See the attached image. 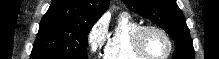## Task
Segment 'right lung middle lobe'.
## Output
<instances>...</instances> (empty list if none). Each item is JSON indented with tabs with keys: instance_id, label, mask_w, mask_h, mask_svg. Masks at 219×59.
Here are the masks:
<instances>
[{
	"instance_id": "obj_1",
	"label": "right lung middle lobe",
	"mask_w": 219,
	"mask_h": 59,
	"mask_svg": "<svg viewBox=\"0 0 219 59\" xmlns=\"http://www.w3.org/2000/svg\"><path fill=\"white\" fill-rule=\"evenodd\" d=\"M94 22L42 19L30 59H87V34Z\"/></svg>"
}]
</instances>
